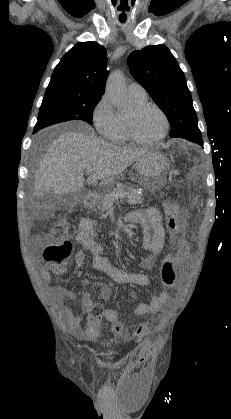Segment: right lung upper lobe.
I'll use <instances>...</instances> for the list:
<instances>
[{"label": "right lung upper lobe", "mask_w": 231, "mask_h": 419, "mask_svg": "<svg viewBox=\"0 0 231 419\" xmlns=\"http://www.w3.org/2000/svg\"><path fill=\"white\" fill-rule=\"evenodd\" d=\"M106 49L96 42H81L55 67L47 89L66 88L81 95L101 96L108 76Z\"/></svg>", "instance_id": "right-lung-upper-lobe-1"}]
</instances>
